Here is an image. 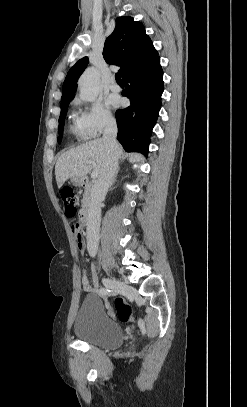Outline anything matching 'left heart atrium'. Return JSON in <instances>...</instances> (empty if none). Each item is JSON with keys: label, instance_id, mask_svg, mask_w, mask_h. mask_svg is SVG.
I'll return each instance as SVG.
<instances>
[{"label": "left heart atrium", "instance_id": "1", "mask_svg": "<svg viewBox=\"0 0 247 407\" xmlns=\"http://www.w3.org/2000/svg\"><path fill=\"white\" fill-rule=\"evenodd\" d=\"M108 104H109L110 106L116 107V106H118V104H119V100H118L117 98H110V99L108 100Z\"/></svg>", "mask_w": 247, "mask_h": 407}]
</instances>
